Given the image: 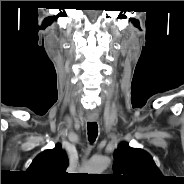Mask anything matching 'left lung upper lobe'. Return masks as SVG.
I'll list each match as a JSON object with an SVG mask.
<instances>
[{
	"label": "left lung upper lobe",
	"mask_w": 184,
	"mask_h": 184,
	"mask_svg": "<svg viewBox=\"0 0 184 184\" xmlns=\"http://www.w3.org/2000/svg\"><path fill=\"white\" fill-rule=\"evenodd\" d=\"M112 180L118 184H161L163 175L150 154L121 142L114 152Z\"/></svg>",
	"instance_id": "obj_1"
}]
</instances>
